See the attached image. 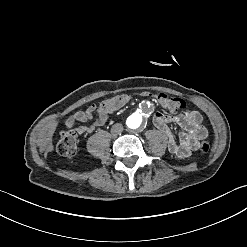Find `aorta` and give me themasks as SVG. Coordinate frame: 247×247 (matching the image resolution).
<instances>
[{"instance_id":"762f6f07","label":"aorta","mask_w":247,"mask_h":247,"mask_svg":"<svg viewBox=\"0 0 247 247\" xmlns=\"http://www.w3.org/2000/svg\"><path fill=\"white\" fill-rule=\"evenodd\" d=\"M142 117L140 114H133L127 120V125L131 129H136L141 125Z\"/></svg>"}]
</instances>
